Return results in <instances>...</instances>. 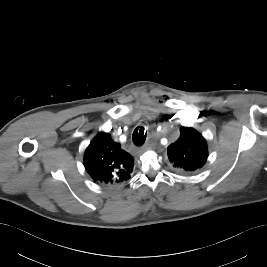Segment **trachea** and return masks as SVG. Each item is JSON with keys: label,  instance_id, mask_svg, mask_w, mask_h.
<instances>
[{"label": "trachea", "instance_id": "1", "mask_svg": "<svg viewBox=\"0 0 267 267\" xmlns=\"http://www.w3.org/2000/svg\"><path fill=\"white\" fill-rule=\"evenodd\" d=\"M145 128L143 126L137 127L132 135V140L136 146H141L146 140V133L144 132Z\"/></svg>", "mask_w": 267, "mask_h": 267}]
</instances>
